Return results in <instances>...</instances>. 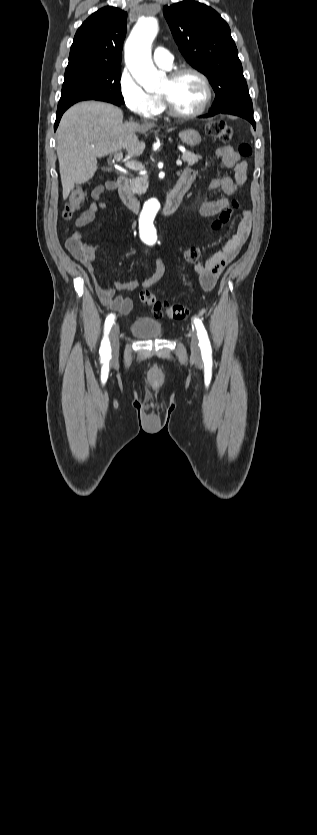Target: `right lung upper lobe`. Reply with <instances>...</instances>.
I'll list each match as a JSON object with an SVG mask.
<instances>
[{
  "label": "right lung upper lobe",
  "mask_w": 317,
  "mask_h": 835,
  "mask_svg": "<svg viewBox=\"0 0 317 835\" xmlns=\"http://www.w3.org/2000/svg\"><path fill=\"white\" fill-rule=\"evenodd\" d=\"M126 20L127 13L115 7H104L93 13L75 34L68 66H120Z\"/></svg>",
  "instance_id": "cb5924a9"
}]
</instances>
